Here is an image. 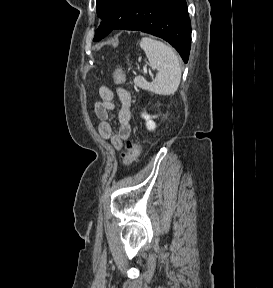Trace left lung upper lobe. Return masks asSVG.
I'll return each mask as SVG.
<instances>
[{
	"instance_id": "5c2ea615",
	"label": "left lung upper lobe",
	"mask_w": 273,
	"mask_h": 288,
	"mask_svg": "<svg viewBox=\"0 0 273 288\" xmlns=\"http://www.w3.org/2000/svg\"><path fill=\"white\" fill-rule=\"evenodd\" d=\"M132 2L133 0H96L97 14L103 22L95 32L94 41L101 40L112 29H117L120 19Z\"/></svg>"
}]
</instances>
